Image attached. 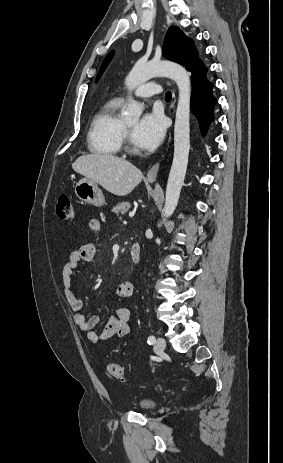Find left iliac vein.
<instances>
[{"mask_svg": "<svg viewBox=\"0 0 283 463\" xmlns=\"http://www.w3.org/2000/svg\"><path fill=\"white\" fill-rule=\"evenodd\" d=\"M166 347V341L163 337H158L155 345H154V350L157 354L162 353L165 350Z\"/></svg>", "mask_w": 283, "mask_h": 463, "instance_id": "4c4485c4", "label": "left iliac vein"}]
</instances>
